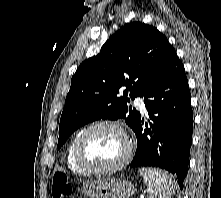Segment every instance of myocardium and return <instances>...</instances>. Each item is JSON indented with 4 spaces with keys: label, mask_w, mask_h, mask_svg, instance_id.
<instances>
[{
    "label": "myocardium",
    "mask_w": 221,
    "mask_h": 198,
    "mask_svg": "<svg viewBox=\"0 0 221 198\" xmlns=\"http://www.w3.org/2000/svg\"><path fill=\"white\" fill-rule=\"evenodd\" d=\"M99 128H109L118 131L123 136L126 143V150L123 157L117 163L111 166L95 167L87 163L82 155V143L84 138L90 132ZM132 153H133V141L130 135L120 124L111 121H99L89 125L77 135L74 143V159L76 163L81 169H83L85 172L90 174L102 175V174H109L119 171L128 164L129 160L131 159Z\"/></svg>",
    "instance_id": "myocardium-1"
}]
</instances>
